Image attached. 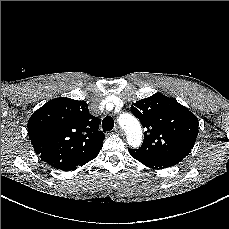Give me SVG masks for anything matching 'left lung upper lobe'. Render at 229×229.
Returning <instances> with one entry per match:
<instances>
[{
    "instance_id": "left-lung-upper-lobe-1",
    "label": "left lung upper lobe",
    "mask_w": 229,
    "mask_h": 229,
    "mask_svg": "<svg viewBox=\"0 0 229 229\" xmlns=\"http://www.w3.org/2000/svg\"><path fill=\"white\" fill-rule=\"evenodd\" d=\"M131 112L146 129L139 149L129 152L140 159L181 162L198 135V119L186 107L162 94H154L131 106Z\"/></svg>"
}]
</instances>
